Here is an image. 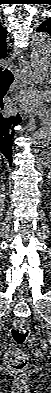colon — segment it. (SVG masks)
<instances>
[{
    "instance_id": "obj_1",
    "label": "colon",
    "mask_w": 51,
    "mask_h": 393,
    "mask_svg": "<svg viewBox=\"0 0 51 393\" xmlns=\"http://www.w3.org/2000/svg\"><path fill=\"white\" fill-rule=\"evenodd\" d=\"M29 324L25 319H16L11 328L13 341L22 346L29 338ZM29 348L34 356H43L46 353L47 345L43 338L35 337L30 340ZM28 358L20 349L10 350L5 358V364L13 370H22L27 366Z\"/></svg>"
}]
</instances>
